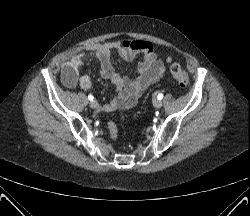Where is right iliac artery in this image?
Segmentation results:
<instances>
[{"mask_svg": "<svg viewBox=\"0 0 250 216\" xmlns=\"http://www.w3.org/2000/svg\"><path fill=\"white\" fill-rule=\"evenodd\" d=\"M88 99H89L90 101H92V100L94 99V97H93L92 95H89V96H88Z\"/></svg>", "mask_w": 250, "mask_h": 216, "instance_id": "82829eb1", "label": "right iliac artery"}]
</instances>
